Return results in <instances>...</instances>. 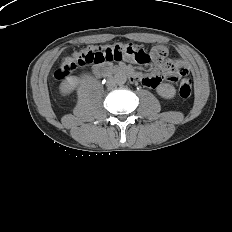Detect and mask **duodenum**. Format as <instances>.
<instances>
[{"mask_svg": "<svg viewBox=\"0 0 232 232\" xmlns=\"http://www.w3.org/2000/svg\"><path fill=\"white\" fill-rule=\"evenodd\" d=\"M110 71H111V67L108 65H96L92 69L94 76L97 78H102L105 74L109 73ZM114 72L117 74L126 75L134 82L138 81L139 79L137 73L124 67L116 68Z\"/></svg>", "mask_w": 232, "mask_h": 232, "instance_id": "obj_1", "label": "duodenum"}]
</instances>
